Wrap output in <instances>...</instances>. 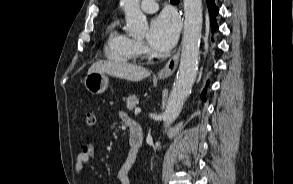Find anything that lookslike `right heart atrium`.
<instances>
[{"label": "right heart atrium", "mask_w": 293, "mask_h": 184, "mask_svg": "<svg viewBox=\"0 0 293 184\" xmlns=\"http://www.w3.org/2000/svg\"><path fill=\"white\" fill-rule=\"evenodd\" d=\"M135 47L138 54H145L147 52L145 44L140 40H135Z\"/></svg>", "instance_id": "obj_1"}]
</instances>
